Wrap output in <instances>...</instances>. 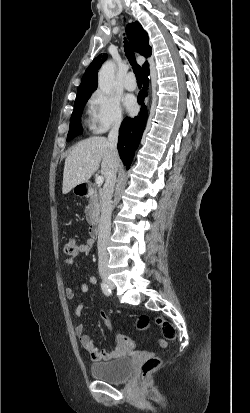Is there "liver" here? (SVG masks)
I'll list each match as a JSON object with an SVG mask.
<instances>
[{
	"mask_svg": "<svg viewBox=\"0 0 250 413\" xmlns=\"http://www.w3.org/2000/svg\"><path fill=\"white\" fill-rule=\"evenodd\" d=\"M120 159H112L108 140L93 136L76 144L65 160L63 172V194L69 193L75 186L87 182L101 164V174L107 179L111 169Z\"/></svg>",
	"mask_w": 250,
	"mask_h": 413,
	"instance_id": "obj_1",
	"label": "liver"
}]
</instances>
